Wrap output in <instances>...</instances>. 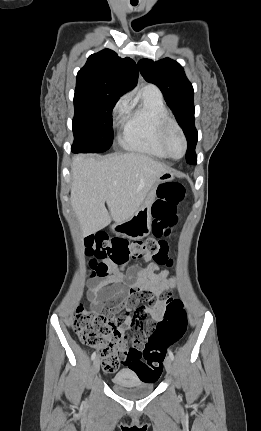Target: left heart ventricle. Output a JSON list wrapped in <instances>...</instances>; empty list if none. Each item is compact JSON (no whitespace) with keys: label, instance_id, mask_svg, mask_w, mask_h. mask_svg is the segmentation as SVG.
Instances as JSON below:
<instances>
[{"label":"left heart ventricle","instance_id":"obj_1","mask_svg":"<svg viewBox=\"0 0 261 431\" xmlns=\"http://www.w3.org/2000/svg\"><path fill=\"white\" fill-rule=\"evenodd\" d=\"M167 146L169 152L175 157H179L183 152L182 139L179 133L174 129L170 130L167 135Z\"/></svg>","mask_w":261,"mask_h":431}]
</instances>
